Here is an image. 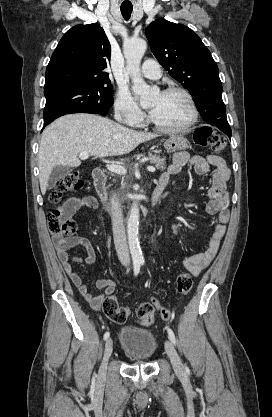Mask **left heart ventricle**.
Here are the masks:
<instances>
[{"instance_id": "left-heart-ventricle-1", "label": "left heart ventricle", "mask_w": 272, "mask_h": 417, "mask_svg": "<svg viewBox=\"0 0 272 417\" xmlns=\"http://www.w3.org/2000/svg\"><path fill=\"white\" fill-rule=\"evenodd\" d=\"M150 115L164 127L176 128L185 125L191 117L186 99L179 94L157 95L149 105Z\"/></svg>"}]
</instances>
